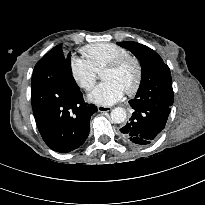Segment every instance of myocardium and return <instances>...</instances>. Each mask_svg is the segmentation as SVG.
I'll return each instance as SVG.
<instances>
[{"mask_svg":"<svg viewBox=\"0 0 205 205\" xmlns=\"http://www.w3.org/2000/svg\"><path fill=\"white\" fill-rule=\"evenodd\" d=\"M131 63L134 65L135 67V78L133 83L125 90L127 94H134L136 93L142 83L143 80V67L142 64L140 62V60L134 56L131 55H126V56H122L119 57L117 59H115L114 61L110 62L109 64H107L104 68V70H119L120 68H122L124 65Z\"/></svg>","mask_w":205,"mask_h":205,"instance_id":"1","label":"myocardium"}]
</instances>
